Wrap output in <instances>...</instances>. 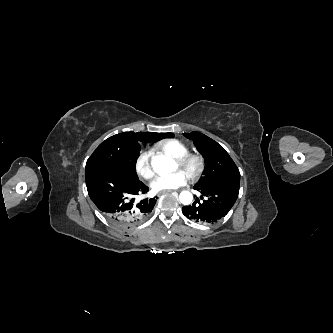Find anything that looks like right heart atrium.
<instances>
[{
	"label": "right heart atrium",
	"instance_id": "1",
	"mask_svg": "<svg viewBox=\"0 0 333 333\" xmlns=\"http://www.w3.org/2000/svg\"><path fill=\"white\" fill-rule=\"evenodd\" d=\"M152 151L145 150L140 153L135 162L137 174L143 179L149 180L153 177L154 171L151 164Z\"/></svg>",
	"mask_w": 333,
	"mask_h": 333
}]
</instances>
